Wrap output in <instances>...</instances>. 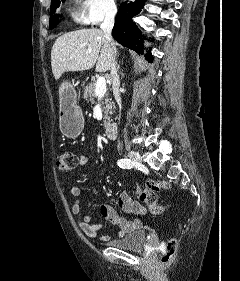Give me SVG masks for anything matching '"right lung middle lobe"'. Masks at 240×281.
<instances>
[{"instance_id":"obj_1","label":"right lung middle lobe","mask_w":240,"mask_h":281,"mask_svg":"<svg viewBox=\"0 0 240 281\" xmlns=\"http://www.w3.org/2000/svg\"><path fill=\"white\" fill-rule=\"evenodd\" d=\"M61 1L64 2L65 0H61ZM59 5H60L59 0H52L51 1V13H53L56 10V8L59 7ZM58 22H59L58 14L50 16L49 28L52 29V28L56 27Z\"/></svg>"}]
</instances>
